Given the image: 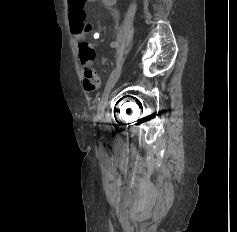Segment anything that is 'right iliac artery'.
<instances>
[{
  "label": "right iliac artery",
  "mask_w": 237,
  "mask_h": 232,
  "mask_svg": "<svg viewBox=\"0 0 237 232\" xmlns=\"http://www.w3.org/2000/svg\"><path fill=\"white\" fill-rule=\"evenodd\" d=\"M110 45H111V47H112V48H115V47H117V46H118V43H117V42H111V44H110Z\"/></svg>",
  "instance_id": "1"
}]
</instances>
